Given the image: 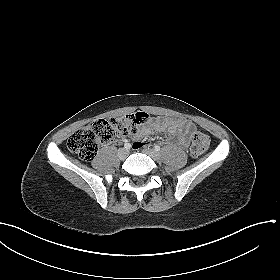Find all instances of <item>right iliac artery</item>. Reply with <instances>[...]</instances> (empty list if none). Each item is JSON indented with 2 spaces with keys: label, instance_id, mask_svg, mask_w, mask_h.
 Returning a JSON list of instances; mask_svg holds the SVG:
<instances>
[{
  "label": "right iliac artery",
  "instance_id": "82829eb1",
  "mask_svg": "<svg viewBox=\"0 0 280 280\" xmlns=\"http://www.w3.org/2000/svg\"><path fill=\"white\" fill-rule=\"evenodd\" d=\"M124 148L130 149V148H131V144H130V143H125V144H124Z\"/></svg>",
  "mask_w": 280,
  "mask_h": 280
}]
</instances>
